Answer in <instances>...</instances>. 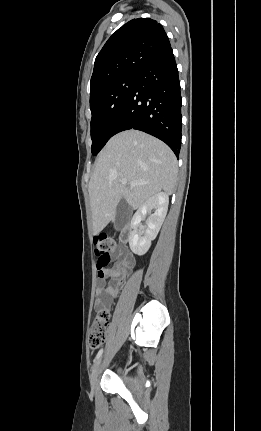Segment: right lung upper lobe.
I'll return each mask as SVG.
<instances>
[{
    "label": "right lung upper lobe",
    "mask_w": 261,
    "mask_h": 431,
    "mask_svg": "<svg viewBox=\"0 0 261 431\" xmlns=\"http://www.w3.org/2000/svg\"><path fill=\"white\" fill-rule=\"evenodd\" d=\"M170 48L161 24L150 18L133 19L105 43L94 63L90 92L122 76L135 75Z\"/></svg>",
    "instance_id": "obj_1"
}]
</instances>
